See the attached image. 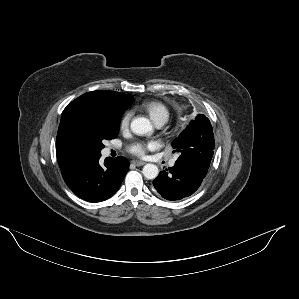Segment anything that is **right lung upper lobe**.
Here are the masks:
<instances>
[{"instance_id":"1","label":"right lung upper lobe","mask_w":299,"mask_h":299,"mask_svg":"<svg viewBox=\"0 0 299 299\" xmlns=\"http://www.w3.org/2000/svg\"><path fill=\"white\" fill-rule=\"evenodd\" d=\"M132 100V95L110 91H92L69 103L62 112L56 138V156L60 169H65L81 157L90 154L73 136L72 121L76 114L84 110H92L107 116H118L123 114Z\"/></svg>"}]
</instances>
